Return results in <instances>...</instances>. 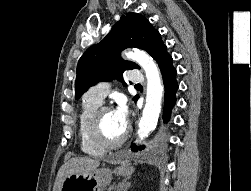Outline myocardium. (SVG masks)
Returning a JSON list of instances; mask_svg holds the SVG:
<instances>
[{
	"label": "myocardium",
	"mask_w": 251,
	"mask_h": 191,
	"mask_svg": "<svg viewBox=\"0 0 251 191\" xmlns=\"http://www.w3.org/2000/svg\"><path fill=\"white\" fill-rule=\"evenodd\" d=\"M106 111H111V108L106 105H99L93 112L89 122V136L94 144L105 150H111L121 146L128 137L127 129H124L123 134L116 140H108L105 138L102 131V116Z\"/></svg>",
	"instance_id": "1"
}]
</instances>
